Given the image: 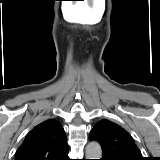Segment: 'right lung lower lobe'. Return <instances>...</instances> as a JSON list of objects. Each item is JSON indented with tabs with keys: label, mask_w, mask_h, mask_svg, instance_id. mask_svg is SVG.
<instances>
[{
	"label": "right lung lower lobe",
	"mask_w": 160,
	"mask_h": 160,
	"mask_svg": "<svg viewBox=\"0 0 160 160\" xmlns=\"http://www.w3.org/2000/svg\"><path fill=\"white\" fill-rule=\"evenodd\" d=\"M64 160H70V159L68 158V155L64 158Z\"/></svg>",
	"instance_id": "1"
}]
</instances>
